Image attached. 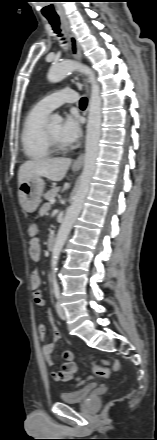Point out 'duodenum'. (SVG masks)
I'll return each mask as SVG.
<instances>
[{
  "instance_id": "1",
  "label": "duodenum",
  "mask_w": 157,
  "mask_h": 440,
  "mask_svg": "<svg viewBox=\"0 0 157 440\" xmlns=\"http://www.w3.org/2000/svg\"><path fill=\"white\" fill-rule=\"evenodd\" d=\"M48 248L52 249L55 245V237L54 236H50L48 238V242H47Z\"/></svg>"
}]
</instances>
